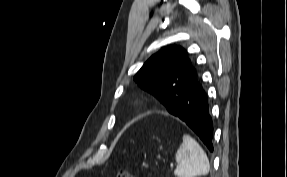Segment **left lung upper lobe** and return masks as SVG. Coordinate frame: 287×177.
<instances>
[{
    "label": "left lung upper lobe",
    "mask_w": 287,
    "mask_h": 177,
    "mask_svg": "<svg viewBox=\"0 0 287 177\" xmlns=\"http://www.w3.org/2000/svg\"><path fill=\"white\" fill-rule=\"evenodd\" d=\"M134 80L159 99L167 110L172 97L176 98L182 89L199 82L187 52L176 45L164 47L152 55L137 72Z\"/></svg>",
    "instance_id": "obj_1"
}]
</instances>
